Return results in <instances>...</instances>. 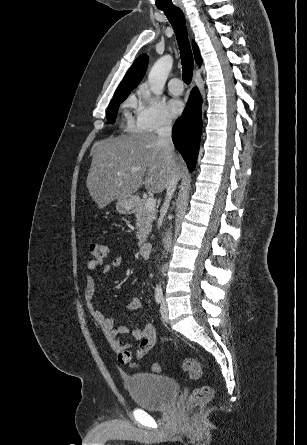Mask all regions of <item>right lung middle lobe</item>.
<instances>
[{
	"instance_id": "1",
	"label": "right lung middle lobe",
	"mask_w": 307,
	"mask_h": 445,
	"mask_svg": "<svg viewBox=\"0 0 307 445\" xmlns=\"http://www.w3.org/2000/svg\"><path fill=\"white\" fill-rule=\"evenodd\" d=\"M125 98L119 99L117 101L111 102L108 106L106 117L109 123L113 124L116 120V112L118 110L120 102L124 101Z\"/></svg>"
}]
</instances>
